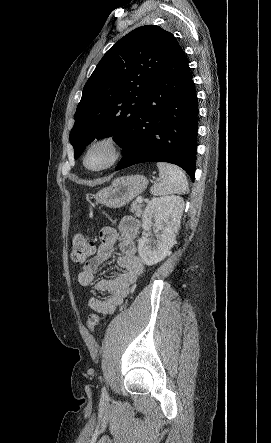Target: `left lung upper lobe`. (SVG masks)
<instances>
[{
    "instance_id": "5c2ea615",
    "label": "left lung upper lobe",
    "mask_w": 271,
    "mask_h": 443,
    "mask_svg": "<svg viewBox=\"0 0 271 443\" xmlns=\"http://www.w3.org/2000/svg\"><path fill=\"white\" fill-rule=\"evenodd\" d=\"M178 47L173 34L154 25L136 28L113 45L83 88L70 132L75 159L95 138L115 136L126 150L148 86Z\"/></svg>"
}]
</instances>
